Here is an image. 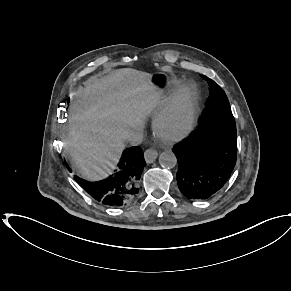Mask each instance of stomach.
Here are the masks:
<instances>
[{
    "instance_id": "obj_1",
    "label": "stomach",
    "mask_w": 291,
    "mask_h": 291,
    "mask_svg": "<svg viewBox=\"0 0 291 291\" xmlns=\"http://www.w3.org/2000/svg\"><path fill=\"white\" fill-rule=\"evenodd\" d=\"M123 74L127 75L128 70L124 69ZM168 82V76L163 72L151 74V84L156 87H164Z\"/></svg>"
}]
</instances>
